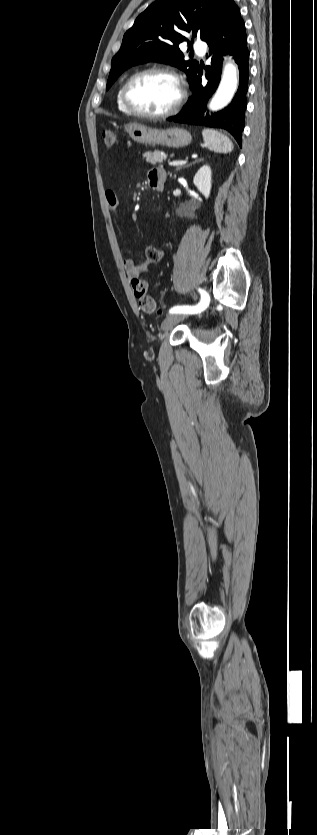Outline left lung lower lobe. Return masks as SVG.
I'll return each mask as SVG.
<instances>
[{
	"instance_id": "0a47b994",
	"label": "left lung lower lobe",
	"mask_w": 317,
	"mask_h": 835,
	"mask_svg": "<svg viewBox=\"0 0 317 835\" xmlns=\"http://www.w3.org/2000/svg\"><path fill=\"white\" fill-rule=\"evenodd\" d=\"M223 25L207 41L210 49L207 57L211 58V66L205 69L209 82L202 85V68L199 66L190 80L192 96L188 99L183 110L169 121L187 124L221 128L229 131L241 146L242 131L244 129V114L246 109V93L248 90V58L247 36L245 24L240 10L234 0H229L224 11ZM228 51L234 56L239 66L240 82L238 91L232 102L222 111L212 115L204 114L206 103L215 92L220 81L222 56Z\"/></svg>"
}]
</instances>
